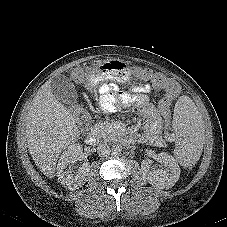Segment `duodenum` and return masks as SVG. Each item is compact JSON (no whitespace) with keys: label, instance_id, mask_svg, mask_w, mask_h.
Instances as JSON below:
<instances>
[{"label":"duodenum","instance_id":"obj_1","mask_svg":"<svg viewBox=\"0 0 227 227\" xmlns=\"http://www.w3.org/2000/svg\"><path fill=\"white\" fill-rule=\"evenodd\" d=\"M86 142L87 144L94 146L97 144V136L94 131H88L86 134Z\"/></svg>","mask_w":227,"mask_h":227}]
</instances>
